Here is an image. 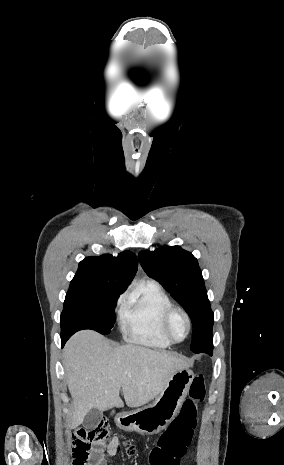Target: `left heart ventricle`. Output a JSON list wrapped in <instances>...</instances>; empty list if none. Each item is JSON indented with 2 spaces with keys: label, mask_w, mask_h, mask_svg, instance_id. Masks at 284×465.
Wrapping results in <instances>:
<instances>
[{
  "label": "left heart ventricle",
  "mask_w": 284,
  "mask_h": 465,
  "mask_svg": "<svg viewBox=\"0 0 284 465\" xmlns=\"http://www.w3.org/2000/svg\"><path fill=\"white\" fill-rule=\"evenodd\" d=\"M169 331L171 336L175 340H183L187 335V324L184 316L181 313H176L169 325Z\"/></svg>",
  "instance_id": "left-heart-ventricle-1"
}]
</instances>
